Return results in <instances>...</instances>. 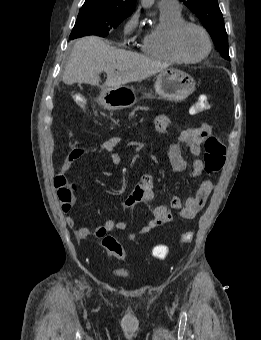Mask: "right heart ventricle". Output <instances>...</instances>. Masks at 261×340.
Wrapping results in <instances>:
<instances>
[{
	"instance_id": "right-heart-ventricle-1",
	"label": "right heart ventricle",
	"mask_w": 261,
	"mask_h": 340,
	"mask_svg": "<svg viewBox=\"0 0 261 340\" xmlns=\"http://www.w3.org/2000/svg\"><path fill=\"white\" fill-rule=\"evenodd\" d=\"M183 20L181 11L160 9L159 24L143 34L140 43L141 50L158 60L182 62L171 49L170 35L172 29Z\"/></svg>"
}]
</instances>
